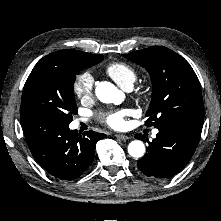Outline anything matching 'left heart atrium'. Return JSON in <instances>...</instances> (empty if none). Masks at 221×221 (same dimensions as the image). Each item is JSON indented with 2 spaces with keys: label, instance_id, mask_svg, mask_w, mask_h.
I'll return each instance as SVG.
<instances>
[{
  "label": "left heart atrium",
  "instance_id": "obj_1",
  "mask_svg": "<svg viewBox=\"0 0 221 221\" xmlns=\"http://www.w3.org/2000/svg\"><path fill=\"white\" fill-rule=\"evenodd\" d=\"M129 110H119L106 114L104 122L113 129H122L126 125L125 117L129 115Z\"/></svg>",
  "mask_w": 221,
  "mask_h": 221
}]
</instances>
